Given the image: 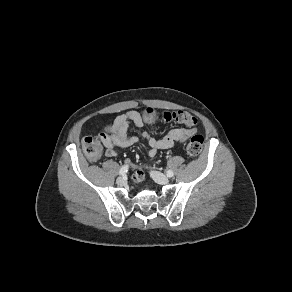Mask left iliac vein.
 I'll list each match as a JSON object with an SVG mask.
<instances>
[{
	"label": "left iliac vein",
	"mask_w": 292,
	"mask_h": 292,
	"mask_svg": "<svg viewBox=\"0 0 292 292\" xmlns=\"http://www.w3.org/2000/svg\"><path fill=\"white\" fill-rule=\"evenodd\" d=\"M151 176L152 178L155 180V182H157L158 184H168L169 183V179L168 177H166L164 174L158 172V171H151Z\"/></svg>",
	"instance_id": "1"
}]
</instances>
